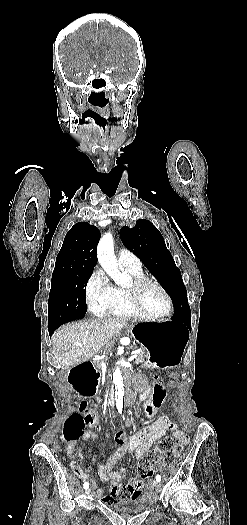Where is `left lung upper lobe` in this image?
I'll return each instance as SVG.
<instances>
[{
    "label": "left lung upper lobe",
    "instance_id": "1",
    "mask_svg": "<svg viewBox=\"0 0 247 525\" xmlns=\"http://www.w3.org/2000/svg\"><path fill=\"white\" fill-rule=\"evenodd\" d=\"M121 240L140 258L170 295L175 315L190 313L180 270L176 267L160 231L149 220L140 219L133 228L125 226L121 229Z\"/></svg>",
    "mask_w": 247,
    "mask_h": 525
}]
</instances>
